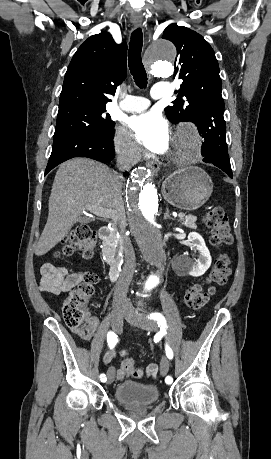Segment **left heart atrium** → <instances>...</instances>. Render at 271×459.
<instances>
[{"label": "left heart atrium", "instance_id": "obj_1", "mask_svg": "<svg viewBox=\"0 0 271 459\" xmlns=\"http://www.w3.org/2000/svg\"><path fill=\"white\" fill-rule=\"evenodd\" d=\"M135 141L154 152L164 151L170 142V127L159 114L148 112L134 117L129 122Z\"/></svg>", "mask_w": 271, "mask_h": 459}]
</instances>
